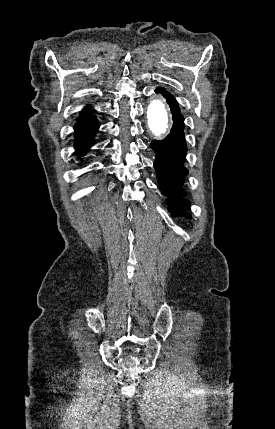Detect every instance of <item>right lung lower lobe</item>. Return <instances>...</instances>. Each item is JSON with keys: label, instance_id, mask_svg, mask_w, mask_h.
<instances>
[{"label": "right lung lower lobe", "instance_id": "obj_1", "mask_svg": "<svg viewBox=\"0 0 275 429\" xmlns=\"http://www.w3.org/2000/svg\"><path fill=\"white\" fill-rule=\"evenodd\" d=\"M91 114L79 118L74 127L75 148L78 156L87 152L89 147L93 145L94 133L99 128L96 117L91 116Z\"/></svg>", "mask_w": 275, "mask_h": 429}]
</instances>
